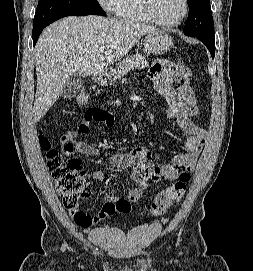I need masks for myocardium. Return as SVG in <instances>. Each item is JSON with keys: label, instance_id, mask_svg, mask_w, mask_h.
I'll use <instances>...</instances> for the list:
<instances>
[{"label": "myocardium", "instance_id": "1", "mask_svg": "<svg viewBox=\"0 0 253 271\" xmlns=\"http://www.w3.org/2000/svg\"><path fill=\"white\" fill-rule=\"evenodd\" d=\"M152 0H142V5H143V9L144 12L146 13L147 17L155 24L162 26V27H176L178 25H180L188 16L189 14V1L188 0H183L184 3V10L183 13L181 15V17L174 21V22H165L160 20L154 10H153V5H152Z\"/></svg>", "mask_w": 253, "mask_h": 271}]
</instances>
